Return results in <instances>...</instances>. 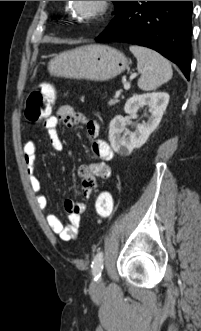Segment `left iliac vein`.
<instances>
[{
	"instance_id": "4c4485c4",
	"label": "left iliac vein",
	"mask_w": 201,
	"mask_h": 331,
	"mask_svg": "<svg viewBox=\"0 0 201 331\" xmlns=\"http://www.w3.org/2000/svg\"><path fill=\"white\" fill-rule=\"evenodd\" d=\"M103 286H104V283L101 280V278L91 283V289L94 291L102 289Z\"/></svg>"
}]
</instances>
